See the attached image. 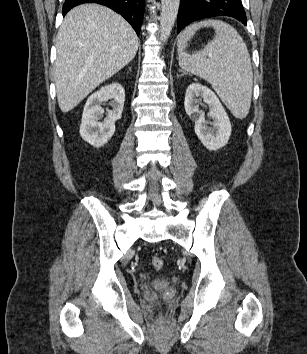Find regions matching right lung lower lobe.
<instances>
[{"mask_svg":"<svg viewBox=\"0 0 307 354\" xmlns=\"http://www.w3.org/2000/svg\"><path fill=\"white\" fill-rule=\"evenodd\" d=\"M82 3H99L121 14L134 28L137 35L143 20L145 0H66L63 16L73 7Z\"/></svg>","mask_w":307,"mask_h":354,"instance_id":"obj_1","label":"right lung lower lobe"}]
</instances>
